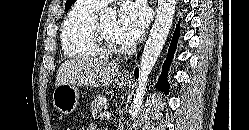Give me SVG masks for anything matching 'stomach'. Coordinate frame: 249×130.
<instances>
[{
  "mask_svg": "<svg viewBox=\"0 0 249 130\" xmlns=\"http://www.w3.org/2000/svg\"><path fill=\"white\" fill-rule=\"evenodd\" d=\"M127 78L119 77L116 83L119 87L128 84ZM80 99L79 90L76 84H62L55 88L53 92V105L62 114L72 113L78 105Z\"/></svg>",
  "mask_w": 249,
  "mask_h": 130,
  "instance_id": "obj_1",
  "label": "stomach"
}]
</instances>
